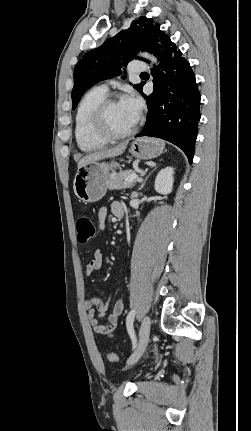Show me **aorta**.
<instances>
[{
  "label": "aorta",
  "mask_w": 251,
  "mask_h": 431,
  "mask_svg": "<svg viewBox=\"0 0 251 431\" xmlns=\"http://www.w3.org/2000/svg\"><path fill=\"white\" fill-rule=\"evenodd\" d=\"M140 55L143 56V57H145V58H147V59H149L151 62L157 64V59L153 55H151L149 53H146V52L141 53Z\"/></svg>",
  "instance_id": "aorta-1"
}]
</instances>
